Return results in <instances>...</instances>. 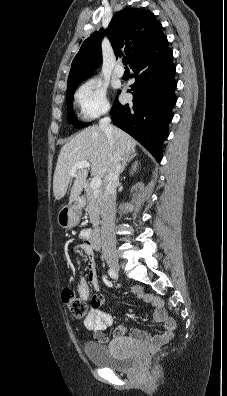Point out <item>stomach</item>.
Here are the masks:
<instances>
[{"instance_id": "stomach-1", "label": "stomach", "mask_w": 227, "mask_h": 396, "mask_svg": "<svg viewBox=\"0 0 227 396\" xmlns=\"http://www.w3.org/2000/svg\"><path fill=\"white\" fill-rule=\"evenodd\" d=\"M82 204L77 200L73 205H68L58 213L57 223L61 228L71 229L76 226L80 220V211Z\"/></svg>"}]
</instances>
